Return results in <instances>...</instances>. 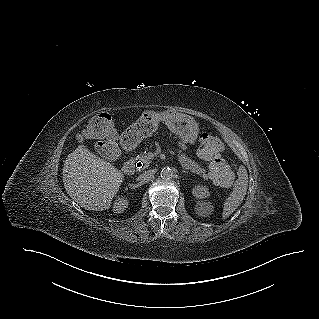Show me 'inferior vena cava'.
<instances>
[{"label": "inferior vena cava", "instance_id": "602c4592", "mask_svg": "<svg viewBox=\"0 0 319 319\" xmlns=\"http://www.w3.org/2000/svg\"><path fill=\"white\" fill-rule=\"evenodd\" d=\"M153 174H154V170H148V171L143 172V173L139 176V178H140V179H147V178L151 177Z\"/></svg>", "mask_w": 319, "mask_h": 319}]
</instances>
